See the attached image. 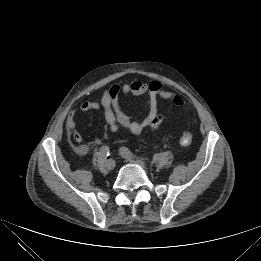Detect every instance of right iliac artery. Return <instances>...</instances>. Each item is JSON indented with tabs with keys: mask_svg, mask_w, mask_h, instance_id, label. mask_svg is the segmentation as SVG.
<instances>
[{
	"mask_svg": "<svg viewBox=\"0 0 261 261\" xmlns=\"http://www.w3.org/2000/svg\"><path fill=\"white\" fill-rule=\"evenodd\" d=\"M100 154L103 156V157H108L110 155V149L108 146H102L100 148Z\"/></svg>",
	"mask_w": 261,
	"mask_h": 261,
	"instance_id": "82829eb1",
	"label": "right iliac artery"
}]
</instances>
